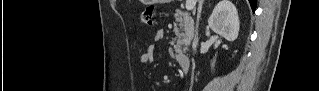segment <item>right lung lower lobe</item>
I'll return each mask as SVG.
<instances>
[{"instance_id":"98d812e1","label":"right lung lower lobe","mask_w":319,"mask_h":91,"mask_svg":"<svg viewBox=\"0 0 319 91\" xmlns=\"http://www.w3.org/2000/svg\"><path fill=\"white\" fill-rule=\"evenodd\" d=\"M249 3H250L251 8H252V10L254 12L255 9H256L257 1L256 0H249Z\"/></svg>"}]
</instances>
